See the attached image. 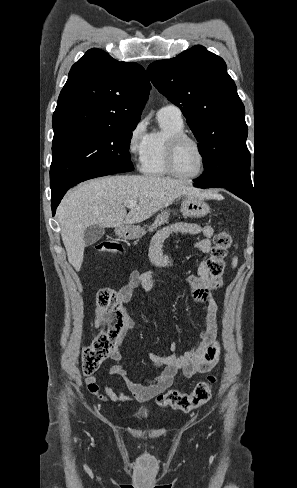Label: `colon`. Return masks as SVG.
I'll use <instances>...</instances> for the list:
<instances>
[{"instance_id":"1","label":"colon","mask_w":297,"mask_h":488,"mask_svg":"<svg viewBox=\"0 0 297 488\" xmlns=\"http://www.w3.org/2000/svg\"><path fill=\"white\" fill-rule=\"evenodd\" d=\"M231 245V237L222 230L214 237V246L207 260V268L211 280L221 283L225 259ZM98 252L119 254L122 247L119 243L104 240L96 245ZM97 314L102 320L103 331L92 344L86 346L82 352V371L86 376L92 375L116 350L124 329V312L114 291L100 289L96 295ZM216 376L210 375L206 380L198 382L192 391L181 392L171 389L157 397V403L163 408L189 411L205 404L212 397Z\"/></svg>"}]
</instances>
